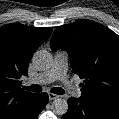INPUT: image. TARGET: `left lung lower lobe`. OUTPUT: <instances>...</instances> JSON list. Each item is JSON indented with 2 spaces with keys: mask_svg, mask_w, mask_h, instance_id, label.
Returning <instances> with one entry per match:
<instances>
[{
  "mask_svg": "<svg viewBox=\"0 0 119 119\" xmlns=\"http://www.w3.org/2000/svg\"><path fill=\"white\" fill-rule=\"evenodd\" d=\"M62 119H119V110L80 98L68 99V111Z\"/></svg>",
  "mask_w": 119,
  "mask_h": 119,
  "instance_id": "left-lung-lower-lobe-1",
  "label": "left lung lower lobe"
}]
</instances>
